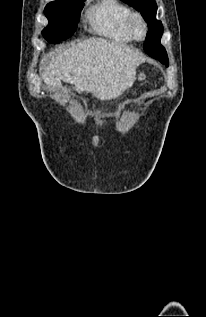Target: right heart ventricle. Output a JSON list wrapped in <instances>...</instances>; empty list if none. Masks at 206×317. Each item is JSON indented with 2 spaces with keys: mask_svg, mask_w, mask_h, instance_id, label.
<instances>
[{
  "mask_svg": "<svg viewBox=\"0 0 206 317\" xmlns=\"http://www.w3.org/2000/svg\"><path fill=\"white\" fill-rule=\"evenodd\" d=\"M132 11L120 0H100L88 12V19L94 31L118 43L133 40L128 30Z\"/></svg>",
  "mask_w": 206,
  "mask_h": 317,
  "instance_id": "1",
  "label": "right heart ventricle"
}]
</instances>
